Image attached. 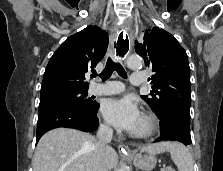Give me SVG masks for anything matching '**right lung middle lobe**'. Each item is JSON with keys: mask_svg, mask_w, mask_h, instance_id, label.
I'll return each mask as SVG.
<instances>
[{"mask_svg": "<svg viewBox=\"0 0 223 171\" xmlns=\"http://www.w3.org/2000/svg\"><path fill=\"white\" fill-rule=\"evenodd\" d=\"M87 97V90L70 91L40 98L39 111L54 105H75L86 110H94L98 103Z\"/></svg>", "mask_w": 223, "mask_h": 171, "instance_id": "1", "label": "right lung middle lobe"}]
</instances>
